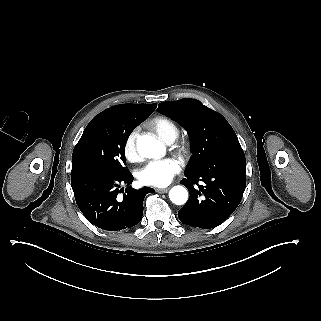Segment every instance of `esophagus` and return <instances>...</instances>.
I'll return each mask as SVG.
<instances>
[{
  "mask_svg": "<svg viewBox=\"0 0 321 321\" xmlns=\"http://www.w3.org/2000/svg\"><path fill=\"white\" fill-rule=\"evenodd\" d=\"M169 190V188H157L156 192L157 193H166Z\"/></svg>",
  "mask_w": 321,
  "mask_h": 321,
  "instance_id": "34e87169",
  "label": "esophagus"
}]
</instances>
